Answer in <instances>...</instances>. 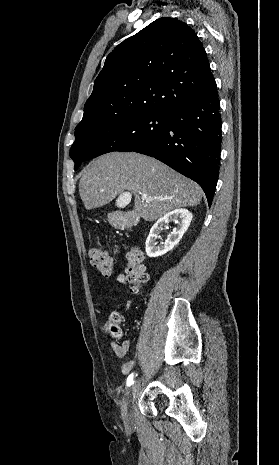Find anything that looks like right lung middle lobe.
<instances>
[{"label":"right lung middle lobe","mask_w":279,"mask_h":465,"mask_svg":"<svg viewBox=\"0 0 279 465\" xmlns=\"http://www.w3.org/2000/svg\"><path fill=\"white\" fill-rule=\"evenodd\" d=\"M167 112L145 111L99 124L75 129V142L70 149L76 170L84 160L99 155L143 146L159 136L166 128Z\"/></svg>","instance_id":"1"}]
</instances>
